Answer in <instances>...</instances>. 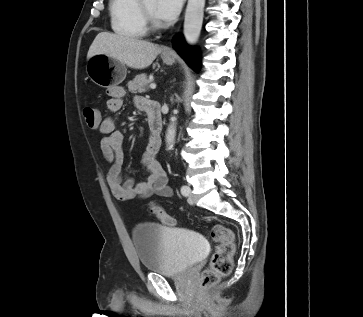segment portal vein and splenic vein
<instances>
[{"instance_id":"obj_1","label":"portal vein and splenic vein","mask_w":363,"mask_h":317,"mask_svg":"<svg viewBox=\"0 0 363 317\" xmlns=\"http://www.w3.org/2000/svg\"><path fill=\"white\" fill-rule=\"evenodd\" d=\"M150 88L151 89H155L156 88V84H154V83L150 84Z\"/></svg>"}]
</instances>
